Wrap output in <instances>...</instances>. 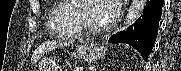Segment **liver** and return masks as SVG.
<instances>
[{
  "mask_svg": "<svg viewBox=\"0 0 181 71\" xmlns=\"http://www.w3.org/2000/svg\"><path fill=\"white\" fill-rule=\"evenodd\" d=\"M69 42H62V41H48L43 43L41 46H39V48L35 51V53L33 54L32 58H31V62L35 63L37 60H39L41 58V56L48 52L51 51L55 48H58L60 46H64V45H68Z\"/></svg>",
  "mask_w": 181,
  "mask_h": 71,
  "instance_id": "liver-1",
  "label": "liver"
}]
</instances>
